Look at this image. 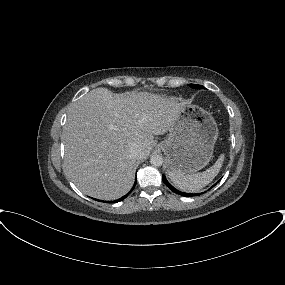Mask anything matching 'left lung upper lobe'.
Listing matches in <instances>:
<instances>
[{
  "label": "left lung upper lobe",
  "instance_id": "left-lung-upper-lobe-1",
  "mask_svg": "<svg viewBox=\"0 0 285 285\" xmlns=\"http://www.w3.org/2000/svg\"><path fill=\"white\" fill-rule=\"evenodd\" d=\"M190 87L194 88V89H204V87L202 85H197V84H189Z\"/></svg>",
  "mask_w": 285,
  "mask_h": 285
}]
</instances>
